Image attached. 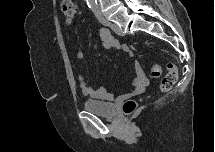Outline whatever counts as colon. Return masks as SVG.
I'll use <instances>...</instances> for the list:
<instances>
[{
	"label": "colon",
	"mask_w": 215,
	"mask_h": 152,
	"mask_svg": "<svg viewBox=\"0 0 215 152\" xmlns=\"http://www.w3.org/2000/svg\"><path fill=\"white\" fill-rule=\"evenodd\" d=\"M62 13L67 23H71L77 15V6L70 0L62 2ZM161 76V67L159 64H152L151 77L158 79ZM178 79V69L173 63L167 64V73L162 78L160 90L167 92L172 89ZM123 112L125 115H132L137 110V103L133 99H128L123 104Z\"/></svg>",
	"instance_id": "5ec220e1"
}]
</instances>
